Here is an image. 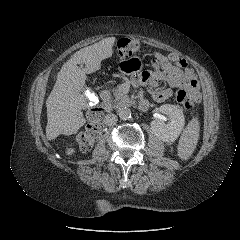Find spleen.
I'll return each mask as SVG.
<instances>
[{
  "label": "spleen",
  "mask_w": 240,
  "mask_h": 240,
  "mask_svg": "<svg viewBox=\"0 0 240 240\" xmlns=\"http://www.w3.org/2000/svg\"><path fill=\"white\" fill-rule=\"evenodd\" d=\"M200 123L193 118L185 128L177 147L179 158L187 160L194 152L199 139Z\"/></svg>",
  "instance_id": "1"
}]
</instances>
